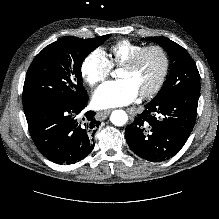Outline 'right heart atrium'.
<instances>
[{
    "label": "right heart atrium",
    "mask_w": 219,
    "mask_h": 219,
    "mask_svg": "<svg viewBox=\"0 0 219 219\" xmlns=\"http://www.w3.org/2000/svg\"><path fill=\"white\" fill-rule=\"evenodd\" d=\"M111 68L106 53L102 49H95L84 59L81 73L87 84L96 86L109 76Z\"/></svg>",
    "instance_id": "d8ad5b80"
}]
</instances>
